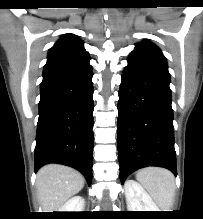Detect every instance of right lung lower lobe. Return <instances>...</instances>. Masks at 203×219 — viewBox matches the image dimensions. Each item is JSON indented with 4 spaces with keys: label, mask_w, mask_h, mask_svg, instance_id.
Masks as SVG:
<instances>
[{
    "label": "right lung lower lobe",
    "mask_w": 203,
    "mask_h": 219,
    "mask_svg": "<svg viewBox=\"0 0 203 219\" xmlns=\"http://www.w3.org/2000/svg\"><path fill=\"white\" fill-rule=\"evenodd\" d=\"M89 59L46 66L40 86L35 171L48 163L92 179L93 85Z\"/></svg>",
    "instance_id": "right-lung-lower-lobe-1"
}]
</instances>
